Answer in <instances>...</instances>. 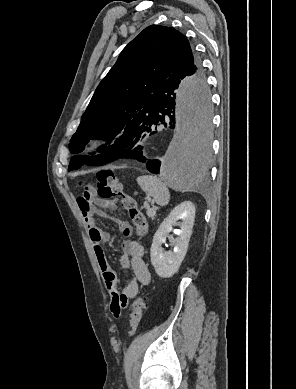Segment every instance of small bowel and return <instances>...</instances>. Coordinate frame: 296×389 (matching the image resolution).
Returning a JSON list of instances; mask_svg holds the SVG:
<instances>
[{
    "label": "small bowel",
    "mask_w": 296,
    "mask_h": 389,
    "mask_svg": "<svg viewBox=\"0 0 296 389\" xmlns=\"http://www.w3.org/2000/svg\"><path fill=\"white\" fill-rule=\"evenodd\" d=\"M77 203L93 244L103 280L111 296V311L113 314L117 311L121 313L128 306L130 300L137 296L139 287L147 286L151 281L150 272L143 259V248L139 243L131 239L133 229L127 221L111 219L118 225L120 232L125 237L121 243L122 255L120 256L119 264L123 269L132 272V277L120 289L117 274L109 265L103 248V244L109 241L110 235L95 223V216L102 215V208H113L114 205L96 197L94 191L82 193L78 197Z\"/></svg>",
    "instance_id": "obj_1"
}]
</instances>
